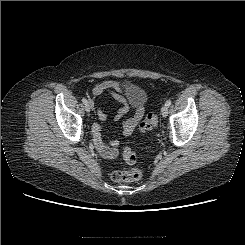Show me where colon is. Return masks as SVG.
I'll use <instances>...</instances> for the list:
<instances>
[{
  "label": "colon",
  "instance_id": "obj_1",
  "mask_svg": "<svg viewBox=\"0 0 245 245\" xmlns=\"http://www.w3.org/2000/svg\"><path fill=\"white\" fill-rule=\"evenodd\" d=\"M158 123L157 116L154 113H148L145 119L140 123L139 130L142 133L150 132ZM125 161L133 164L137 160V155L130 147H126L123 152ZM142 177V173L138 169L116 170L112 173V179L117 182H133L138 181Z\"/></svg>",
  "mask_w": 245,
  "mask_h": 245
}]
</instances>
